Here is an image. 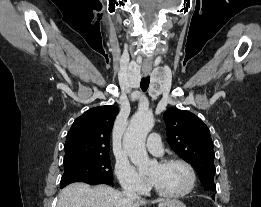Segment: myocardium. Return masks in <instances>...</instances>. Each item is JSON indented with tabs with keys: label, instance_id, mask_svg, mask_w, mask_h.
Listing matches in <instances>:
<instances>
[{
	"label": "myocardium",
	"instance_id": "myocardium-1",
	"mask_svg": "<svg viewBox=\"0 0 261 207\" xmlns=\"http://www.w3.org/2000/svg\"><path fill=\"white\" fill-rule=\"evenodd\" d=\"M159 164L160 165L179 164L183 166L188 173V184L186 188L180 192L168 193L160 190L152 183V188L156 192V194L164 198L176 199V198H182L192 192V190L195 187L196 176L193 167L187 161L179 158H168V159L161 160Z\"/></svg>",
	"mask_w": 261,
	"mask_h": 207
}]
</instances>
